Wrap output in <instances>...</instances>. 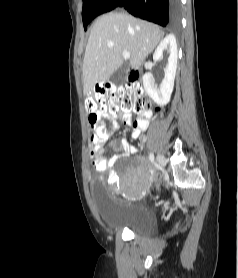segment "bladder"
<instances>
[{"mask_svg":"<svg viewBox=\"0 0 238 278\" xmlns=\"http://www.w3.org/2000/svg\"><path fill=\"white\" fill-rule=\"evenodd\" d=\"M93 199H97L99 216L104 226L113 231L127 230L136 235H151L155 232L157 222L153 213L143 205L121 204L107 197L100 181H93Z\"/></svg>","mask_w":238,"mask_h":278,"instance_id":"31cf9c89","label":"bladder"}]
</instances>
